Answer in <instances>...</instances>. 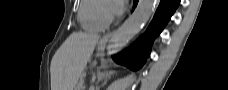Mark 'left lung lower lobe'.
I'll list each match as a JSON object with an SVG mask.
<instances>
[{"label":"left lung lower lobe","instance_id":"0a47b994","mask_svg":"<svg viewBox=\"0 0 228 90\" xmlns=\"http://www.w3.org/2000/svg\"><path fill=\"white\" fill-rule=\"evenodd\" d=\"M137 3L138 0H134L133 10ZM179 3L180 0H161L146 32L141 35L130 48L114 56L113 60L127 66L133 71L140 69L145 63L147 56L150 54V47L153 39L162 31Z\"/></svg>","mask_w":228,"mask_h":90}]
</instances>
